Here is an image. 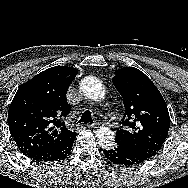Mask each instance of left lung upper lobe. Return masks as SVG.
I'll return each mask as SVG.
<instances>
[{
	"label": "left lung upper lobe",
	"instance_id": "5c2ea615",
	"mask_svg": "<svg viewBox=\"0 0 188 188\" xmlns=\"http://www.w3.org/2000/svg\"><path fill=\"white\" fill-rule=\"evenodd\" d=\"M123 96L125 106L122 127L115 142L154 155L169 131L170 117L166 102L153 82L140 70L124 67L112 79Z\"/></svg>",
	"mask_w": 188,
	"mask_h": 188
}]
</instances>
